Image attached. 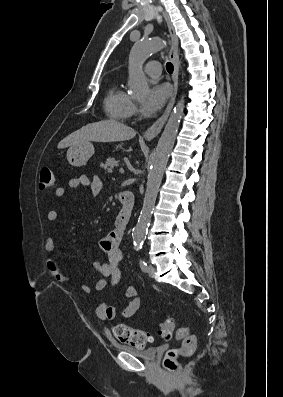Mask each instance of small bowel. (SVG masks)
Segmentation results:
<instances>
[{"mask_svg": "<svg viewBox=\"0 0 283 397\" xmlns=\"http://www.w3.org/2000/svg\"><path fill=\"white\" fill-rule=\"evenodd\" d=\"M90 186L91 191L94 195H97L101 188L102 183L98 178H94L92 181L85 176L81 175L76 178H72L68 181V187L71 189L86 188ZM57 197L62 198L67 194V188L58 187L55 191ZM58 219V212L51 210L47 213V220L49 222H55ZM122 231L117 228L110 231L100 241V247L107 256L106 262H93V268L103 277L98 280L93 289L86 283H81V289L86 293H91L92 290L103 291L107 288L116 286L121 279L120 264L123 259V253L120 249V242L122 239ZM45 251L48 253L46 260V267L51 276L59 283H66L72 280L71 276L65 274L57 260L55 259L53 252L55 250V242L52 236H48L45 239L44 244ZM124 298L128 300L126 306L122 311V317L125 319L131 318L140 308L141 299L138 297V291L135 286L129 285L124 289ZM116 307L112 304L102 302L96 308V315L102 321H112L116 318Z\"/></svg>", "mask_w": 283, "mask_h": 397, "instance_id": "1", "label": "small bowel"}]
</instances>
